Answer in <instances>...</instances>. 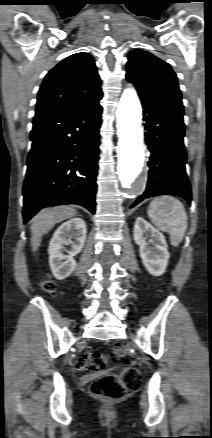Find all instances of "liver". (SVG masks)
Returning <instances> with one entry per match:
<instances>
[{"label": "liver", "mask_w": 212, "mask_h": 438, "mask_svg": "<svg viewBox=\"0 0 212 438\" xmlns=\"http://www.w3.org/2000/svg\"><path fill=\"white\" fill-rule=\"evenodd\" d=\"M77 211L70 206H60L42 210L36 215L31 225V248L36 252L41 244L42 237L51 230L56 223L72 218Z\"/></svg>", "instance_id": "1"}]
</instances>
